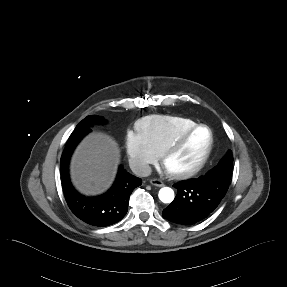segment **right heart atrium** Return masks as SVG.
Instances as JSON below:
<instances>
[{
	"label": "right heart atrium",
	"mask_w": 287,
	"mask_h": 287,
	"mask_svg": "<svg viewBox=\"0 0 287 287\" xmlns=\"http://www.w3.org/2000/svg\"><path fill=\"white\" fill-rule=\"evenodd\" d=\"M125 145L131 166L140 174H146L159 158V153L139 132H129Z\"/></svg>",
	"instance_id": "1"
}]
</instances>
